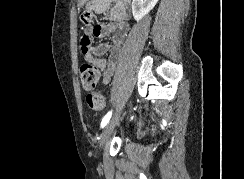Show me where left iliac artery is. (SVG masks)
Masks as SVG:
<instances>
[{
    "instance_id": "obj_1",
    "label": "left iliac artery",
    "mask_w": 244,
    "mask_h": 179,
    "mask_svg": "<svg viewBox=\"0 0 244 179\" xmlns=\"http://www.w3.org/2000/svg\"><path fill=\"white\" fill-rule=\"evenodd\" d=\"M111 115H112V111H109L105 116L104 118L102 119V122H101V128H103L110 120L111 118Z\"/></svg>"
}]
</instances>
